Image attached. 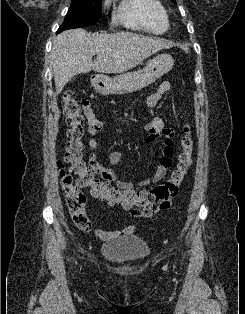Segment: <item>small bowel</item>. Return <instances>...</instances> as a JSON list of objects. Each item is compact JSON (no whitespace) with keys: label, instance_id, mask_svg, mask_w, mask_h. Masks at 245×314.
Listing matches in <instances>:
<instances>
[{"label":"small bowel","instance_id":"small-bowel-1","mask_svg":"<svg viewBox=\"0 0 245 314\" xmlns=\"http://www.w3.org/2000/svg\"><path fill=\"white\" fill-rule=\"evenodd\" d=\"M171 85L168 81H164L160 83L155 92L151 94L147 99L148 108H155L158 103L162 100V98L166 95ZM83 111L87 118L88 122V132L91 136H94L98 131L103 127V122L98 120L94 114V111L88 101H85L83 104ZM146 132L147 136L145 137L146 143H152L157 138L161 137L162 146H161V158L158 163V167L153 176L145 177L141 179L139 182L132 183L126 182L122 180H118L113 166H116L120 163L122 159V154L119 151H111L108 154V165L105 166L101 164L97 156L95 154V150L97 148V141L94 138H91L88 141V147L90 149L89 154V162L93 169L100 175L101 179L104 182L116 181L117 186L123 190L135 191L136 186H144L148 183L158 182L166 175L168 169L172 165V158L174 155V131L167 127L160 116H154L147 124H146ZM132 218H146L150 219L154 217L153 213H141L138 210L131 211ZM136 230L135 225H129L122 230L116 231H104L101 229H96L94 231L95 236L105 242L115 241L121 236L132 234Z\"/></svg>","mask_w":245,"mask_h":314}]
</instances>
